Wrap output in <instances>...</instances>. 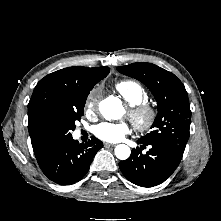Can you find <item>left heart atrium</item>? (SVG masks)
Listing matches in <instances>:
<instances>
[{"instance_id": "1", "label": "left heart atrium", "mask_w": 221, "mask_h": 221, "mask_svg": "<svg viewBox=\"0 0 221 221\" xmlns=\"http://www.w3.org/2000/svg\"><path fill=\"white\" fill-rule=\"evenodd\" d=\"M130 131L129 126L124 123L102 122L93 129L94 135L106 142L121 141Z\"/></svg>"}]
</instances>
